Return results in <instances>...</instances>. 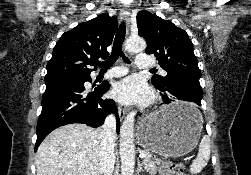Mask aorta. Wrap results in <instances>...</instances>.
I'll return each instance as SVG.
<instances>
[{
    "label": "aorta",
    "mask_w": 251,
    "mask_h": 175,
    "mask_svg": "<svg viewBox=\"0 0 251 175\" xmlns=\"http://www.w3.org/2000/svg\"><path fill=\"white\" fill-rule=\"evenodd\" d=\"M128 52H144L145 40L142 38H129L126 42ZM135 111H129L120 129V161L121 175H133L135 167L134 149V121Z\"/></svg>",
    "instance_id": "762f6f07"
}]
</instances>
